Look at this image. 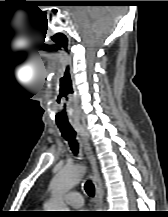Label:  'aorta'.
<instances>
[{
	"mask_svg": "<svg viewBox=\"0 0 168 217\" xmlns=\"http://www.w3.org/2000/svg\"><path fill=\"white\" fill-rule=\"evenodd\" d=\"M85 168L74 165L61 168L50 183L51 198L45 204L46 211H69L63 201V196L78 184Z\"/></svg>",
	"mask_w": 168,
	"mask_h": 217,
	"instance_id": "obj_1",
	"label": "aorta"
}]
</instances>
